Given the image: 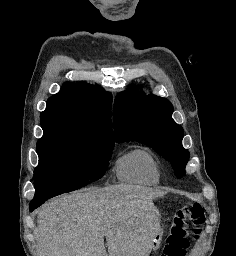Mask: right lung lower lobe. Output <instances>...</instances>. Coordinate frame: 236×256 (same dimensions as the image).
Listing matches in <instances>:
<instances>
[{
	"label": "right lung lower lobe",
	"mask_w": 236,
	"mask_h": 256,
	"mask_svg": "<svg viewBox=\"0 0 236 256\" xmlns=\"http://www.w3.org/2000/svg\"><path fill=\"white\" fill-rule=\"evenodd\" d=\"M46 200H48V199L41 200V201H37V202L31 201V203H30V211H33L35 208L39 207V206H40L41 204H43Z\"/></svg>",
	"instance_id": "98d812e1"
}]
</instances>
